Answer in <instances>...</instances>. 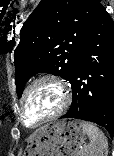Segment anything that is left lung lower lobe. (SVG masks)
<instances>
[{
	"label": "left lung lower lobe",
	"instance_id": "obj_1",
	"mask_svg": "<svg viewBox=\"0 0 114 156\" xmlns=\"http://www.w3.org/2000/svg\"><path fill=\"white\" fill-rule=\"evenodd\" d=\"M73 100L61 118L94 122L114 133V23L102 4L80 47L71 79Z\"/></svg>",
	"mask_w": 114,
	"mask_h": 156
}]
</instances>
